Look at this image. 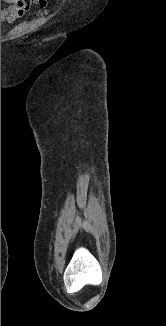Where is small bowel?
Segmentation results:
<instances>
[{"mask_svg": "<svg viewBox=\"0 0 166 326\" xmlns=\"http://www.w3.org/2000/svg\"><path fill=\"white\" fill-rule=\"evenodd\" d=\"M7 4L6 8L1 9V21H14L21 17L32 7L44 9L48 0H1Z\"/></svg>", "mask_w": 166, "mask_h": 326, "instance_id": "c3829d8e", "label": "small bowel"}]
</instances>
